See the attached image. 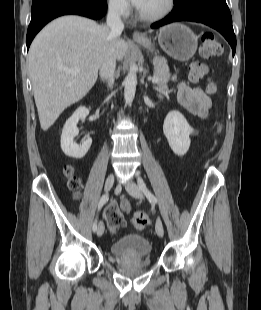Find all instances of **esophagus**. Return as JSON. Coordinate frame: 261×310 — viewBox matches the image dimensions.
<instances>
[{
	"instance_id": "1",
	"label": "esophagus",
	"mask_w": 261,
	"mask_h": 310,
	"mask_svg": "<svg viewBox=\"0 0 261 310\" xmlns=\"http://www.w3.org/2000/svg\"><path fill=\"white\" fill-rule=\"evenodd\" d=\"M144 35L142 33H140L139 31H134L133 33V39L135 40H142L144 39Z\"/></svg>"
}]
</instances>
